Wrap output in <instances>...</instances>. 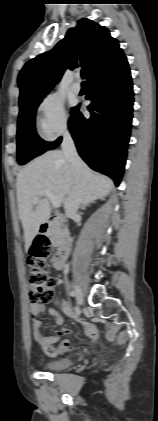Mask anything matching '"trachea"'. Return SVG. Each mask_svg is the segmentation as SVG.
<instances>
[{"label":"trachea","mask_w":158,"mask_h":421,"mask_svg":"<svg viewBox=\"0 0 158 421\" xmlns=\"http://www.w3.org/2000/svg\"><path fill=\"white\" fill-rule=\"evenodd\" d=\"M81 77H82V79H84L86 77V73L84 71L81 73ZM83 83H85V82H83Z\"/></svg>","instance_id":"3493384b"}]
</instances>
